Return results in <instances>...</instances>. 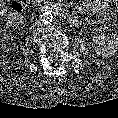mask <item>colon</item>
<instances>
[{"instance_id":"1","label":"colon","mask_w":118,"mask_h":118,"mask_svg":"<svg viewBox=\"0 0 118 118\" xmlns=\"http://www.w3.org/2000/svg\"><path fill=\"white\" fill-rule=\"evenodd\" d=\"M118 6V0H117ZM22 7L19 2H13L5 14L4 23L6 26L14 27L20 23Z\"/></svg>"}]
</instances>
